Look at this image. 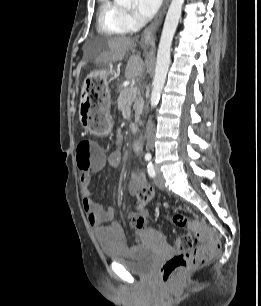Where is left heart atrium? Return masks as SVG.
Returning <instances> with one entry per match:
<instances>
[{
	"label": "left heart atrium",
	"mask_w": 261,
	"mask_h": 306,
	"mask_svg": "<svg viewBox=\"0 0 261 306\" xmlns=\"http://www.w3.org/2000/svg\"><path fill=\"white\" fill-rule=\"evenodd\" d=\"M161 2L162 0H135V16L140 20H149L159 9Z\"/></svg>",
	"instance_id": "left-heart-atrium-1"
}]
</instances>
